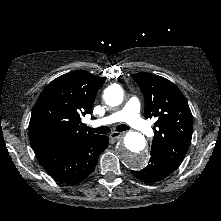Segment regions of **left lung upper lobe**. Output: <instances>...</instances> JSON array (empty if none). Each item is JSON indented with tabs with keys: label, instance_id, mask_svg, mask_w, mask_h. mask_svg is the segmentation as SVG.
<instances>
[{
	"label": "left lung upper lobe",
	"instance_id": "obj_1",
	"mask_svg": "<svg viewBox=\"0 0 221 221\" xmlns=\"http://www.w3.org/2000/svg\"><path fill=\"white\" fill-rule=\"evenodd\" d=\"M145 97V118H156L151 152L175 170L189 148L193 117L178 87L166 78L140 72L133 75Z\"/></svg>",
	"mask_w": 221,
	"mask_h": 221
}]
</instances>
